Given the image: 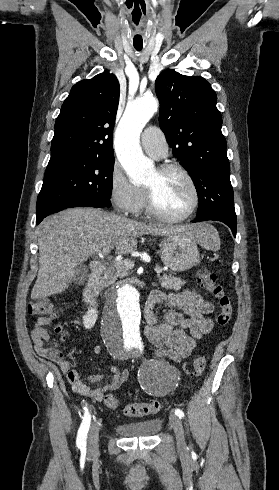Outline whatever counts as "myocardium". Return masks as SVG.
Instances as JSON below:
<instances>
[{"mask_svg":"<svg viewBox=\"0 0 279 490\" xmlns=\"http://www.w3.org/2000/svg\"><path fill=\"white\" fill-rule=\"evenodd\" d=\"M159 172L161 173H166V172H178L181 175L185 177V179L188 181L192 192H193V200L189 208L183 212L180 215H168L164 213L160 208L157 206L154 194H153V189L151 187H147V206H148V211L151 215L154 217L166 221V222H181L188 217H190L198 208L199 203H200V192L198 185L191 175V173L182 165L177 164V163H166L162 166L159 167L158 169Z\"/></svg>","mask_w":279,"mask_h":490,"instance_id":"myocardium-1","label":"myocardium"}]
</instances>
